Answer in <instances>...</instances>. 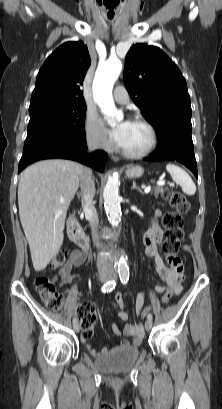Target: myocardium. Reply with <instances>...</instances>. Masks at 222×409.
Returning <instances> with one entry per match:
<instances>
[{"instance_id":"obj_1","label":"myocardium","mask_w":222,"mask_h":409,"mask_svg":"<svg viewBox=\"0 0 222 409\" xmlns=\"http://www.w3.org/2000/svg\"><path fill=\"white\" fill-rule=\"evenodd\" d=\"M130 121L141 124L148 129L150 133V143L144 150L140 152L128 151V150L121 148L120 146L118 147V150L122 155L129 157V158H134V159L144 158L148 156L157 146V143H158L157 131L151 122H149L147 119L141 116H134L131 118Z\"/></svg>"}]
</instances>
